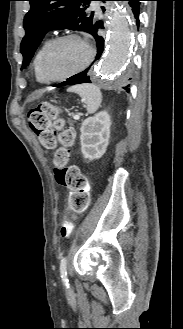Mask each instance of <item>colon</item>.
<instances>
[{
    "instance_id": "obj_1",
    "label": "colon",
    "mask_w": 183,
    "mask_h": 329,
    "mask_svg": "<svg viewBox=\"0 0 183 329\" xmlns=\"http://www.w3.org/2000/svg\"><path fill=\"white\" fill-rule=\"evenodd\" d=\"M28 125L47 149H53L59 143L54 157V175L57 184L69 191L68 206H65L60 228L62 238H68L72 232L71 221L74 217H81L89 203V184L87 178L77 166L67 163L71 156V149L75 141V131L65 128L64 121L59 117V109L50 103H44L33 108L28 113Z\"/></svg>"
}]
</instances>
